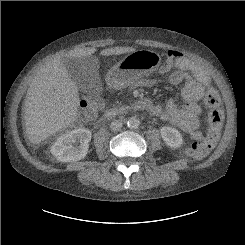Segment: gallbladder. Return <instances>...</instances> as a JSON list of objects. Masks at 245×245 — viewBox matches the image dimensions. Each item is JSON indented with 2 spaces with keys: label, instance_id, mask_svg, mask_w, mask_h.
Returning <instances> with one entry per match:
<instances>
[{
  "label": "gallbladder",
  "instance_id": "gallbladder-1",
  "mask_svg": "<svg viewBox=\"0 0 245 245\" xmlns=\"http://www.w3.org/2000/svg\"><path fill=\"white\" fill-rule=\"evenodd\" d=\"M69 76L83 92H90L101 85L97 69L91 66L88 59L72 58L65 62Z\"/></svg>",
  "mask_w": 245,
  "mask_h": 245
}]
</instances>
